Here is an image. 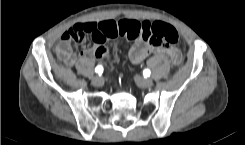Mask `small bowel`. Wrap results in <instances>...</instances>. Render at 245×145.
<instances>
[{
	"mask_svg": "<svg viewBox=\"0 0 245 145\" xmlns=\"http://www.w3.org/2000/svg\"><path fill=\"white\" fill-rule=\"evenodd\" d=\"M122 21L130 22L135 21L133 19H122L119 21L112 20V19H104L100 21H88L85 24H89L93 27L95 35L93 36L95 45L93 48L90 49H84L81 51H72L70 46V40L65 39L64 36L66 32L63 34L62 40L59 42L56 52L59 57H61V50L63 48H66L69 51V56L67 58H64V62L68 66H73L76 61L84 56H91L94 55L96 57L103 56L104 54H110L112 53V50L107 47L110 37L109 33L112 30H117L119 23ZM137 22V21H135ZM80 43L85 42V39L79 40ZM167 54L170 57L174 56L175 50L172 48H168L163 45H154L149 42H145L142 40L136 41L128 50V58L131 62L138 64L141 61H143L146 57H148L151 54Z\"/></svg>",
	"mask_w": 245,
	"mask_h": 145,
	"instance_id": "obj_1",
	"label": "small bowel"
}]
</instances>
